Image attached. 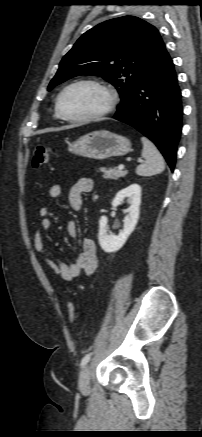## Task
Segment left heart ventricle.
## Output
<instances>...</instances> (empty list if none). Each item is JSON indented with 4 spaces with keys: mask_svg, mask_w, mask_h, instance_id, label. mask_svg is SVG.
Returning <instances> with one entry per match:
<instances>
[{
    "mask_svg": "<svg viewBox=\"0 0 202 437\" xmlns=\"http://www.w3.org/2000/svg\"><path fill=\"white\" fill-rule=\"evenodd\" d=\"M106 95L92 85H79L66 92L62 99V109L70 117L95 113L106 104Z\"/></svg>",
    "mask_w": 202,
    "mask_h": 437,
    "instance_id": "left-heart-ventricle-1",
    "label": "left heart ventricle"
}]
</instances>
